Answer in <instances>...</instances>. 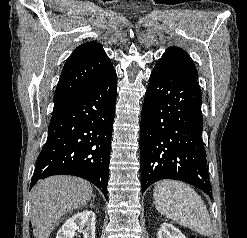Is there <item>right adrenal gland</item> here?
<instances>
[{"label": "right adrenal gland", "mask_w": 247, "mask_h": 238, "mask_svg": "<svg viewBox=\"0 0 247 238\" xmlns=\"http://www.w3.org/2000/svg\"><path fill=\"white\" fill-rule=\"evenodd\" d=\"M94 197H93V200L91 201V204L89 205V207H94Z\"/></svg>", "instance_id": "right-adrenal-gland-1"}]
</instances>
